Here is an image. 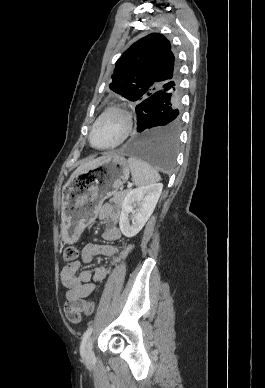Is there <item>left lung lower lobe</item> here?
I'll return each instance as SVG.
<instances>
[{
    "label": "left lung lower lobe",
    "instance_id": "1",
    "mask_svg": "<svg viewBox=\"0 0 265 388\" xmlns=\"http://www.w3.org/2000/svg\"><path fill=\"white\" fill-rule=\"evenodd\" d=\"M137 134L127 143L128 154L157 169L171 170L175 163L180 127V87L165 84L156 95L136 106Z\"/></svg>",
    "mask_w": 265,
    "mask_h": 388
}]
</instances>
